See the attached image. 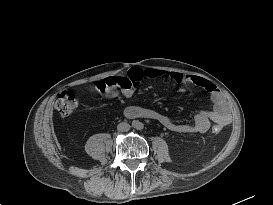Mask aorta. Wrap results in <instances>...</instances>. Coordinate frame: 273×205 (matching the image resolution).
I'll return each mask as SVG.
<instances>
[{
  "label": "aorta",
  "instance_id": "obj_1",
  "mask_svg": "<svg viewBox=\"0 0 273 205\" xmlns=\"http://www.w3.org/2000/svg\"><path fill=\"white\" fill-rule=\"evenodd\" d=\"M132 126L136 129H142L143 128V123L138 121V120H135L132 122Z\"/></svg>",
  "mask_w": 273,
  "mask_h": 205
}]
</instances>
